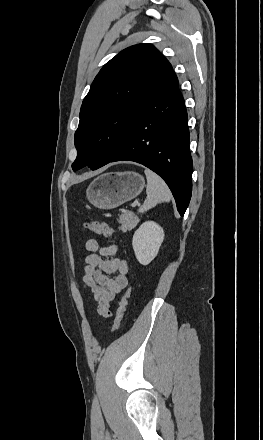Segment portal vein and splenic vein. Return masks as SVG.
Returning <instances> with one entry per match:
<instances>
[{
  "label": "portal vein and splenic vein",
  "instance_id": "portal-vein-and-splenic-vein-1",
  "mask_svg": "<svg viewBox=\"0 0 263 440\" xmlns=\"http://www.w3.org/2000/svg\"><path fill=\"white\" fill-rule=\"evenodd\" d=\"M139 204L138 201H135L134 203L131 204L132 207H136Z\"/></svg>",
  "mask_w": 263,
  "mask_h": 440
}]
</instances>
